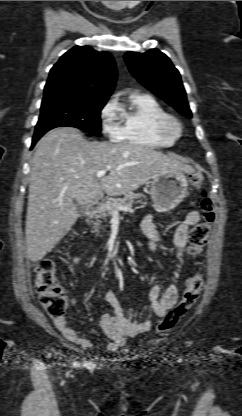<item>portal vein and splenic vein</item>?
<instances>
[{"mask_svg": "<svg viewBox=\"0 0 242 416\" xmlns=\"http://www.w3.org/2000/svg\"><path fill=\"white\" fill-rule=\"evenodd\" d=\"M108 172V170H101L99 172L96 173V177L97 178H102L105 176V174ZM130 211V208L128 206H124V205H118L116 206V211Z\"/></svg>", "mask_w": 242, "mask_h": 416, "instance_id": "portal-vein-and-splenic-vein-1", "label": "portal vein and splenic vein"}]
</instances>
